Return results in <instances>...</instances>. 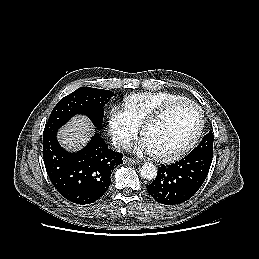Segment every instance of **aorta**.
<instances>
[{
    "instance_id": "aorta-1",
    "label": "aorta",
    "mask_w": 259,
    "mask_h": 259,
    "mask_svg": "<svg viewBox=\"0 0 259 259\" xmlns=\"http://www.w3.org/2000/svg\"><path fill=\"white\" fill-rule=\"evenodd\" d=\"M139 172L142 178L152 180L157 175V168L153 163H144Z\"/></svg>"
}]
</instances>
